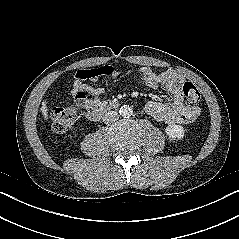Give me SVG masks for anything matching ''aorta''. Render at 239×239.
Segmentation results:
<instances>
[{"label": "aorta", "mask_w": 239, "mask_h": 239, "mask_svg": "<svg viewBox=\"0 0 239 239\" xmlns=\"http://www.w3.org/2000/svg\"><path fill=\"white\" fill-rule=\"evenodd\" d=\"M119 114L124 118L132 116L133 114L132 107L129 105H123L119 110Z\"/></svg>", "instance_id": "1"}]
</instances>
